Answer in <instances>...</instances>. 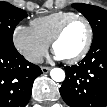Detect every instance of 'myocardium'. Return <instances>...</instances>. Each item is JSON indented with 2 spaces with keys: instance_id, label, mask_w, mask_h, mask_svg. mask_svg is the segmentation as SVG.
<instances>
[{
  "instance_id": "myocardium-1",
  "label": "myocardium",
  "mask_w": 107,
  "mask_h": 107,
  "mask_svg": "<svg viewBox=\"0 0 107 107\" xmlns=\"http://www.w3.org/2000/svg\"><path fill=\"white\" fill-rule=\"evenodd\" d=\"M76 20H81L85 23L87 30H88V37H87L85 46L76 56H74L72 58L64 59L65 62H67L68 64H74V63L81 61L90 51V48L93 43V36H94L93 28H92L90 21L82 15L72 16V17L68 18L65 22L62 23V25L55 32V34L51 40V48L53 51H55L56 43L62 38L63 34L65 33L66 29L70 26V24Z\"/></svg>"
}]
</instances>
